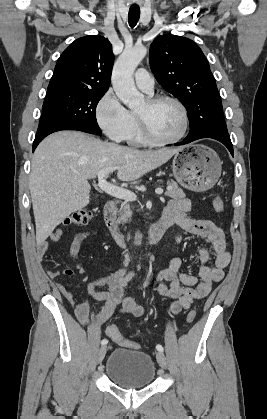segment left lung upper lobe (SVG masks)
I'll use <instances>...</instances> for the list:
<instances>
[{
  "label": "left lung upper lobe",
  "instance_id": "1",
  "mask_svg": "<svg viewBox=\"0 0 267 419\" xmlns=\"http://www.w3.org/2000/svg\"><path fill=\"white\" fill-rule=\"evenodd\" d=\"M149 61L159 84L186 108L190 126L206 118L214 134L227 131L209 62L195 42L175 35L158 36L150 46Z\"/></svg>",
  "mask_w": 267,
  "mask_h": 419
}]
</instances>
